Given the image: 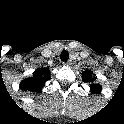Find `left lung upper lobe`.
<instances>
[{
  "instance_id": "5c2ea615",
  "label": "left lung upper lobe",
  "mask_w": 124,
  "mask_h": 124,
  "mask_svg": "<svg viewBox=\"0 0 124 124\" xmlns=\"http://www.w3.org/2000/svg\"><path fill=\"white\" fill-rule=\"evenodd\" d=\"M82 80L90 84V89L92 93L98 94L100 92L101 86L94 83L96 77L93 75V72L91 70H86L82 73Z\"/></svg>"
}]
</instances>
